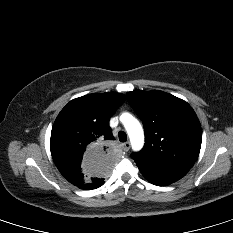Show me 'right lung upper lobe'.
Wrapping results in <instances>:
<instances>
[{
	"instance_id": "cb5924a9",
	"label": "right lung upper lobe",
	"mask_w": 233,
	"mask_h": 233,
	"mask_svg": "<svg viewBox=\"0 0 233 233\" xmlns=\"http://www.w3.org/2000/svg\"><path fill=\"white\" fill-rule=\"evenodd\" d=\"M125 101L121 93L89 94L71 100L57 116L50 139L52 158L75 186L100 183L115 169L117 150L110 117Z\"/></svg>"
}]
</instances>
